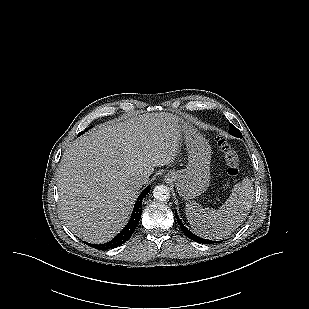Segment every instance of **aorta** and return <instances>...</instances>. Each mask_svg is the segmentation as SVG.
Listing matches in <instances>:
<instances>
[{
	"label": "aorta",
	"mask_w": 309,
	"mask_h": 309,
	"mask_svg": "<svg viewBox=\"0 0 309 309\" xmlns=\"http://www.w3.org/2000/svg\"><path fill=\"white\" fill-rule=\"evenodd\" d=\"M153 196L158 201H167L170 198V190L165 185H157L153 189Z\"/></svg>",
	"instance_id": "aorta-1"
}]
</instances>
